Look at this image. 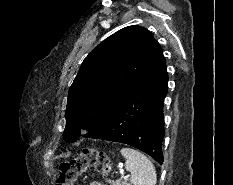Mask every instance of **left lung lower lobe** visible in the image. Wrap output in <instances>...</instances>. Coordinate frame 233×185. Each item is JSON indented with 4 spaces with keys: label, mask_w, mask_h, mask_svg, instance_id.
Wrapping results in <instances>:
<instances>
[{
    "label": "left lung lower lobe",
    "mask_w": 233,
    "mask_h": 185,
    "mask_svg": "<svg viewBox=\"0 0 233 185\" xmlns=\"http://www.w3.org/2000/svg\"><path fill=\"white\" fill-rule=\"evenodd\" d=\"M167 82L163 57L123 95L108 119L84 137L129 144L162 164Z\"/></svg>",
    "instance_id": "0a47b994"
}]
</instances>
